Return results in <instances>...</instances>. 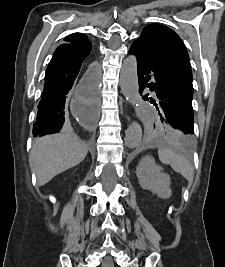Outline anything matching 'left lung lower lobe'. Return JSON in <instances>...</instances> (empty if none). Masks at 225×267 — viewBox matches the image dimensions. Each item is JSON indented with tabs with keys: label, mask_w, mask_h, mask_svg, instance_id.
I'll return each instance as SVG.
<instances>
[{
	"label": "left lung lower lobe",
	"mask_w": 225,
	"mask_h": 267,
	"mask_svg": "<svg viewBox=\"0 0 225 267\" xmlns=\"http://www.w3.org/2000/svg\"><path fill=\"white\" fill-rule=\"evenodd\" d=\"M129 53L137 60L140 94L146 88L154 91L153 97L147 93L143 100L156 107L160 119L193 137L191 65L179 58L156 55L140 40L134 41Z\"/></svg>",
	"instance_id": "obj_1"
}]
</instances>
